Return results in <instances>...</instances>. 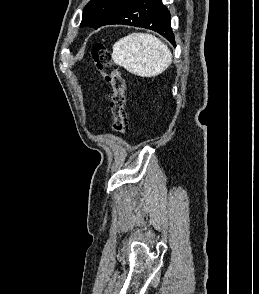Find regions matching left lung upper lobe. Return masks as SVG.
<instances>
[{"label": "left lung upper lobe", "instance_id": "1", "mask_svg": "<svg viewBox=\"0 0 259 294\" xmlns=\"http://www.w3.org/2000/svg\"><path fill=\"white\" fill-rule=\"evenodd\" d=\"M125 0H91L83 11L81 26L99 28L113 9Z\"/></svg>", "mask_w": 259, "mask_h": 294}]
</instances>
